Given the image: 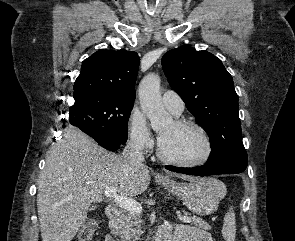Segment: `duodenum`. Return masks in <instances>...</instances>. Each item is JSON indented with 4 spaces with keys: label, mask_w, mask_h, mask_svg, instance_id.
Wrapping results in <instances>:
<instances>
[{
    "label": "duodenum",
    "mask_w": 295,
    "mask_h": 241,
    "mask_svg": "<svg viewBox=\"0 0 295 241\" xmlns=\"http://www.w3.org/2000/svg\"><path fill=\"white\" fill-rule=\"evenodd\" d=\"M106 215L112 221H116L119 218V210L117 207L109 205L106 207ZM155 241H170L169 235L160 233Z\"/></svg>",
    "instance_id": "410a0bca"
}]
</instances>
